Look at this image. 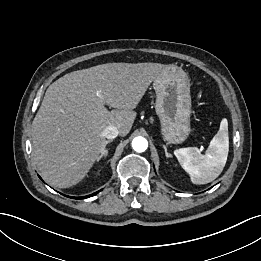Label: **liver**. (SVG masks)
Wrapping results in <instances>:
<instances>
[{
	"mask_svg": "<svg viewBox=\"0 0 261 261\" xmlns=\"http://www.w3.org/2000/svg\"><path fill=\"white\" fill-rule=\"evenodd\" d=\"M167 69L160 63H106L52 83L32 122L33 160L43 179L58 188L79 183L105 148L104 129L115 126L125 137L134 109Z\"/></svg>",
	"mask_w": 261,
	"mask_h": 261,
	"instance_id": "obj_1",
	"label": "liver"
}]
</instances>
